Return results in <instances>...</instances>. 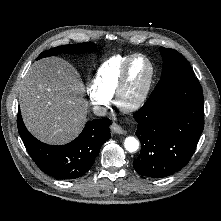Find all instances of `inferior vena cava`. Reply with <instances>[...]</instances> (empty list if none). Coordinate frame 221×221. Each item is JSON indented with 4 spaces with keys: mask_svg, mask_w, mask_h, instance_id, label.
Segmentation results:
<instances>
[{
    "mask_svg": "<svg viewBox=\"0 0 221 221\" xmlns=\"http://www.w3.org/2000/svg\"><path fill=\"white\" fill-rule=\"evenodd\" d=\"M93 113L96 116H106L107 115V110H106V108L101 107V106H94Z\"/></svg>",
    "mask_w": 221,
    "mask_h": 221,
    "instance_id": "602c4592",
    "label": "inferior vena cava"
}]
</instances>
